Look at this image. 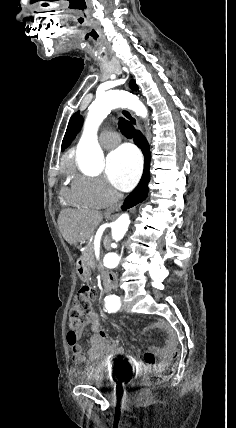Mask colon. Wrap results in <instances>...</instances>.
<instances>
[{
  "label": "colon",
  "instance_id": "obj_1",
  "mask_svg": "<svg viewBox=\"0 0 236 428\" xmlns=\"http://www.w3.org/2000/svg\"><path fill=\"white\" fill-rule=\"evenodd\" d=\"M91 296L92 290L86 285L82 286L75 296V301L69 314L70 329L68 332V343L70 346L76 345V330L86 319V311L88 310ZM179 358V349L172 345L168 361L156 372L146 375L143 380V385L147 388H151L167 381L173 375Z\"/></svg>",
  "mask_w": 236,
  "mask_h": 428
}]
</instances>
